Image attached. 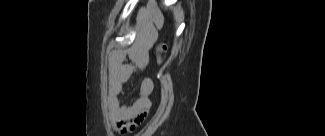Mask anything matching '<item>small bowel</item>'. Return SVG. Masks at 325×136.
<instances>
[{"label": "small bowel", "mask_w": 325, "mask_h": 136, "mask_svg": "<svg viewBox=\"0 0 325 136\" xmlns=\"http://www.w3.org/2000/svg\"><path fill=\"white\" fill-rule=\"evenodd\" d=\"M153 38L152 34L150 39ZM129 55L130 53L127 51L118 50L112 51L109 55L107 106L111 122L119 132L133 130L137 124L144 120L151 107L150 95L154 88L150 77L143 78L135 101L127 107L121 105L123 85L135 69L134 64L126 62Z\"/></svg>", "instance_id": "small-bowel-1"}]
</instances>
